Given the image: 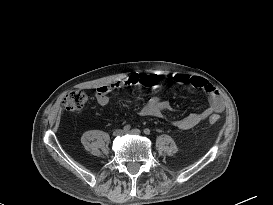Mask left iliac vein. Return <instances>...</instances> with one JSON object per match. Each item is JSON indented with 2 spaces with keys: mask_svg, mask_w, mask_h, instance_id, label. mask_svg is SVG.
Segmentation results:
<instances>
[{
  "mask_svg": "<svg viewBox=\"0 0 273 205\" xmlns=\"http://www.w3.org/2000/svg\"><path fill=\"white\" fill-rule=\"evenodd\" d=\"M127 133L132 135H140L141 131L139 129H132L130 131H127Z\"/></svg>",
  "mask_w": 273,
  "mask_h": 205,
  "instance_id": "obj_1",
  "label": "left iliac vein"
}]
</instances>
